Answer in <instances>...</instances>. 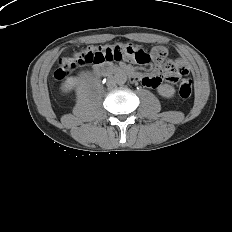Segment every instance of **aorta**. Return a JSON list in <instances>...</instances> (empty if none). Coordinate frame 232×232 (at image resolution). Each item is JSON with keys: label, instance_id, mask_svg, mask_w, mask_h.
Returning <instances> with one entry per match:
<instances>
[{"label": "aorta", "instance_id": "1", "mask_svg": "<svg viewBox=\"0 0 232 232\" xmlns=\"http://www.w3.org/2000/svg\"><path fill=\"white\" fill-rule=\"evenodd\" d=\"M114 81L118 85H123L127 81V75L123 72H119V73L115 74Z\"/></svg>", "mask_w": 232, "mask_h": 232}]
</instances>
